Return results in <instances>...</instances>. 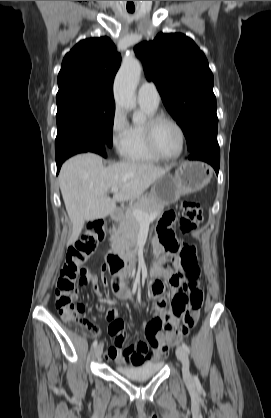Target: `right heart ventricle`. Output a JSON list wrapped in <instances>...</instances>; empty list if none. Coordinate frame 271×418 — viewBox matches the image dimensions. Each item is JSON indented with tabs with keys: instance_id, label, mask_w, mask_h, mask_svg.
I'll list each match as a JSON object with an SVG mask.
<instances>
[{
	"instance_id": "right-heart-ventricle-1",
	"label": "right heart ventricle",
	"mask_w": 271,
	"mask_h": 418,
	"mask_svg": "<svg viewBox=\"0 0 271 418\" xmlns=\"http://www.w3.org/2000/svg\"><path fill=\"white\" fill-rule=\"evenodd\" d=\"M140 107L144 114L145 121L140 123L134 122L127 125L125 142L120 152L123 158L130 161L158 162L160 159L157 158L147 146L144 132L146 120L155 115L156 109L142 104H140Z\"/></svg>"
}]
</instances>
